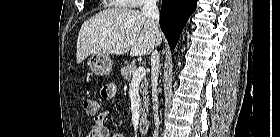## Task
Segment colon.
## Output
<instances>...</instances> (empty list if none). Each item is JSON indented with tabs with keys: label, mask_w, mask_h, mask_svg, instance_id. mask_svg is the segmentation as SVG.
Returning a JSON list of instances; mask_svg holds the SVG:
<instances>
[{
	"label": "colon",
	"mask_w": 280,
	"mask_h": 137,
	"mask_svg": "<svg viewBox=\"0 0 280 137\" xmlns=\"http://www.w3.org/2000/svg\"><path fill=\"white\" fill-rule=\"evenodd\" d=\"M103 98L105 99H112L113 95H109L104 93ZM83 109L88 116L97 117L99 112V105L98 102L94 99H84L83 100ZM88 137H99L97 133H91Z\"/></svg>",
	"instance_id": "5ec220e1"
}]
</instances>
